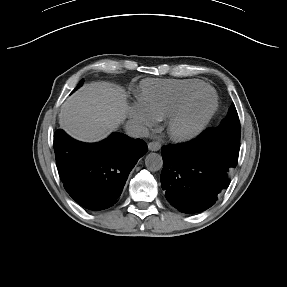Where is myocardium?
Returning a JSON list of instances; mask_svg holds the SVG:
<instances>
[{"label":"myocardium","mask_w":287,"mask_h":287,"mask_svg":"<svg viewBox=\"0 0 287 287\" xmlns=\"http://www.w3.org/2000/svg\"><path fill=\"white\" fill-rule=\"evenodd\" d=\"M209 93L212 97V104L206 114L196 122L185 125L184 118L191 102L202 93ZM218 96L214 89L203 86L187 94L178 104L176 109L168 117L167 131L169 136L178 142H185L199 135L209 124L218 109Z\"/></svg>","instance_id":"myocardium-1"}]
</instances>
